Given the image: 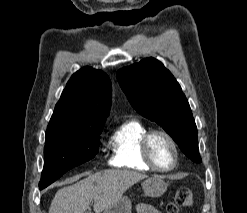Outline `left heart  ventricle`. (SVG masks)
Segmentation results:
<instances>
[{"label": "left heart ventricle", "mask_w": 247, "mask_h": 213, "mask_svg": "<svg viewBox=\"0 0 247 213\" xmlns=\"http://www.w3.org/2000/svg\"><path fill=\"white\" fill-rule=\"evenodd\" d=\"M151 154L154 161L162 168H168L173 164L174 152L163 136L157 135L151 141Z\"/></svg>", "instance_id": "1"}]
</instances>
